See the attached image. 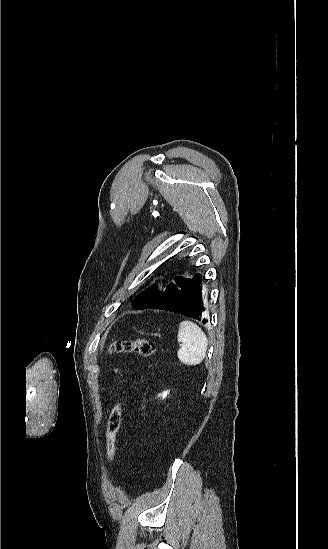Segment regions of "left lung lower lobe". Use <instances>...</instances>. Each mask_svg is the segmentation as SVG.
Masks as SVG:
<instances>
[{
  "label": "left lung lower lobe",
  "instance_id": "obj_1",
  "mask_svg": "<svg viewBox=\"0 0 328 549\" xmlns=\"http://www.w3.org/2000/svg\"><path fill=\"white\" fill-rule=\"evenodd\" d=\"M141 309H159L175 312L197 319L205 324L200 274H196L193 278H182L176 289V295L171 297V299L160 300L156 303L146 305Z\"/></svg>",
  "mask_w": 328,
  "mask_h": 549
}]
</instances>
